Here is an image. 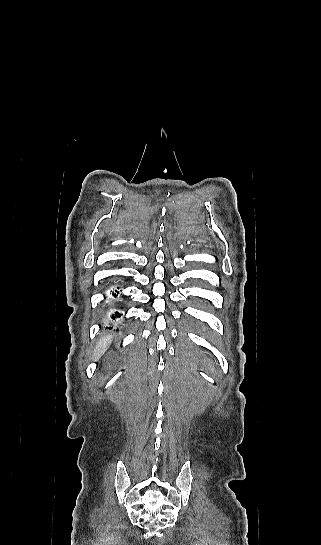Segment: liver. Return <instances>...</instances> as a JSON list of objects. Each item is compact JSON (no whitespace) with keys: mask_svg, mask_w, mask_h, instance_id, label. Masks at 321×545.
I'll return each mask as SVG.
<instances>
[{"mask_svg":"<svg viewBox=\"0 0 321 545\" xmlns=\"http://www.w3.org/2000/svg\"><path fill=\"white\" fill-rule=\"evenodd\" d=\"M113 335H105V337H100L98 343L95 345L93 351L92 359L93 361H99L100 357L104 355L105 351L109 349L112 343Z\"/></svg>","mask_w":321,"mask_h":545,"instance_id":"1","label":"liver"}]
</instances>
